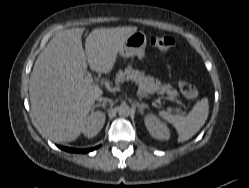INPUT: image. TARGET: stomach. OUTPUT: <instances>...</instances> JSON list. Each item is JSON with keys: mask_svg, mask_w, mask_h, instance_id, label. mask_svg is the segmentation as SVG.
<instances>
[{"mask_svg": "<svg viewBox=\"0 0 249 188\" xmlns=\"http://www.w3.org/2000/svg\"><path fill=\"white\" fill-rule=\"evenodd\" d=\"M147 37L144 32L139 31L130 35L119 50V56L126 59L137 56L142 59L145 56Z\"/></svg>", "mask_w": 249, "mask_h": 188, "instance_id": "1", "label": "stomach"}]
</instances>
